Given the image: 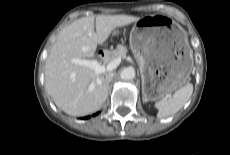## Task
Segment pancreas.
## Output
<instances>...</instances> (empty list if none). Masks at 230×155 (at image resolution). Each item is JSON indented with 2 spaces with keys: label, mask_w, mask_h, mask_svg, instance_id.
<instances>
[{
  "label": "pancreas",
  "mask_w": 230,
  "mask_h": 155,
  "mask_svg": "<svg viewBox=\"0 0 230 155\" xmlns=\"http://www.w3.org/2000/svg\"><path fill=\"white\" fill-rule=\"evenodd\" d=\"M127 53L126 47L123 45H118L115 50L109 51L106 57V62H110L117 57H124Z\"/></svg>",
  "instance_id": "1"
}]
</instances>
